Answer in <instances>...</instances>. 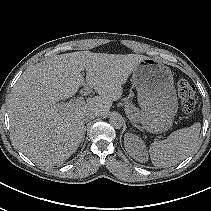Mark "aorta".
Returning <instances> with one entry per match:
<instances>
[{
    "instance_id": "1",
    "label": "aorta",
    "mask_w": 211,
    "mask_h": 211,
    "mask_svg": "<svg viewBox=\"0 0 211 211\" xmlns=\"http://www.w3.org/2000/svg\"><path fill=\"white\" fill-rule=\"evenodd\" d=\"M109 122L115 128H121L123 126V118L119 114L111 116Z\"/></svg>"
}]
</instances>
